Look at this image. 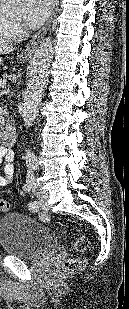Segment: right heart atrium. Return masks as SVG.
Listing matches in <instances>:
<instances>
[{
  "label": "right heart atrium",
  "instance_id": "1",
  "mask_svg": "<svg viewBox=\"0 0 129 309\" xmlns=\"http://www.w3.org/2000/svg\"><path fill=\"white\" fill-rule=\"evenodd\" d=\"M13 29L17 37H20L24 33L22 26L18 23H13Z\"/></svg>",
  "mask_w": 129,
  "mask_h": 309
}]
</instances>
